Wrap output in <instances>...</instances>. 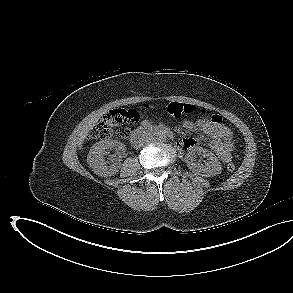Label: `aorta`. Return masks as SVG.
<instances>
[{"instance_id":"aorta-1","label":"aorta","mask_w":293,"mask_h":293,"mask_svg":"<svg viewBox=\"0 0 293 293\" xmlns=\"http://www.w3.org/2000/svg\"><path fill=\"white\" fill-rule=\"evenodd\" d=\"M167 136L165 134H161L159 136L156 137V139L160 142H164L166 141Z\"/></svg>"}]
</instances>
